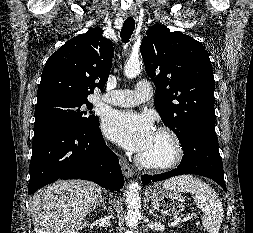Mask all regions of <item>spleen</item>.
I'll use <instances>...</instances> for the list:
<instances>
[{"label":"spleen","mask_w":253,"mask_h":233,"mask_svg":"<svg viewBox=\"0 0 253 233\" xmlns=\"http://www.w3.org/2000/svg\"><path fill=\"white\" fill-rule=\"evenodd\" d=\"M165 188L194 195V202L203 212L202 224L209 233H219L223 221V206L217 193L208 184L191 175L164 182Z\"/></svg>","instance_id":"obj_1"}]
</instances>
